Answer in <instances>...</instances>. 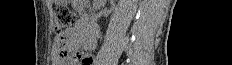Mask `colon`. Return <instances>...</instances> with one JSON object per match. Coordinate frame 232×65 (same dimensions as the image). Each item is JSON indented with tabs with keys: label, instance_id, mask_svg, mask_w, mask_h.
Wrapping results in <instances>:
<instances>
[{
	"label": "colon",
	"instance_id": "colon-1",
	"mask_svg": "<svg viewBox=\"0 0 232 65\" xmlns=\"http://www.w3.org/2000/svg\"><path fill=\"white\" fill-rule=\"evenodd\" d=\"M77 22L76 14L68 7H59L55 12L54 28L57 33L56 45L57 56L60 59H67L69 57L68 51L65 48V37L63 31L72 27ZM74 61H80L82 65H91L92 57L81 52L73 56Z\"/></svg>",
	"mask_w": 232,
	"mask_h": 65
}]
</instances>
